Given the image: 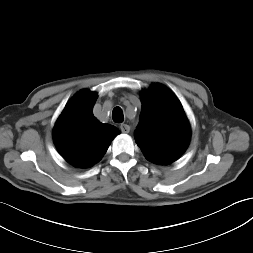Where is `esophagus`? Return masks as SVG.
<instances>
[{
    "mask_svg": "<svg viewBox=\"0 0 253 253\" xmlns=\"http://www.w3.org/2000/svg\"><path fill=\"white\" fill-rule=\"evenodd\" d=\"M120 130L122 133H129L130 131V126L127 124H121Z\"/></svg>",
    "mask_w": 253,
    "mask_h": 253,
    "instance_id": "34e87169",
    "label": "esophagus"
}]
</instances>
